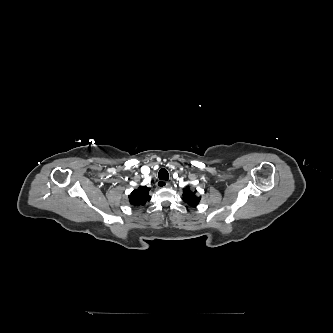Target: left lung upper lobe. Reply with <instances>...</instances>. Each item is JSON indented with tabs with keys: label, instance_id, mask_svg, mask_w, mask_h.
<instances>
[{
	"label": "left lung upper lobe",
	"instance_id": "left-lung-upper-lobe-1",
	"mask_svg": "<svg viewBox=\"0 0 333 333\" xmlns=\"http://www.w3.org/2000/svg\"><path fill=\"white\" fill-rule=\"evenodd\" d=\"M195 192H192L189 188H186L184 193H183V200L188 203L190 206H196L199 201H200V197H196L195 196Z\"/></svg>",
	"mask_w": 333,
	"mask_h": 333
}]
</instances>
